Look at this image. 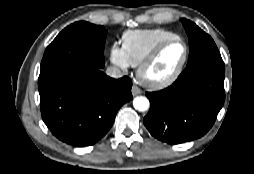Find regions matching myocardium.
I'll return each mask as SVG.
<instances>
[{"label":"myocardium","mask_w":254,"mask_h":174,"mask_svg":"<svg viewBox=\"0 0 254 174\" xmlns=\"http://www.w3.org/2000/svg\"><path fill=\"white\" fill-rule=\"evenodd\" d=\"M174 42H181L184 46V56L179 66L172 74H170L165 78L162 79L149 78L147 76L148 69L154 64V62L157 60V58L164 50V48ZM188 57H189V47L183 38L177 36L174 38L164 40L159 44H157L147 55V57L140 63L137 69V78L140 81V83L151 89H163L165 87H168L179 78V76L181 75V73L185 68V65L188 61Z\"/></svg>","instance_id":"f54148a6"}]
</instances>
